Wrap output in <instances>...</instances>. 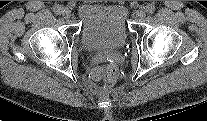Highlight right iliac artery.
<instances>
[{
  "label": "right iliac artery",
  "mask_w": 207,
  "mask_h": 121,
  "mask_svg": "<svg viewBox=\"0 0 207 121\" xmlns=\"http://www.w3.org/2000/svg\"><path fill=\"white\" fill-rule=\"evenodd\" d=\"M54 12H55V14H57V15H61L62 12H63V7H62L61 5H56V6L54 7Z\"/></svg>",
  "instance_id": "obj_1"
}]
</instances>
